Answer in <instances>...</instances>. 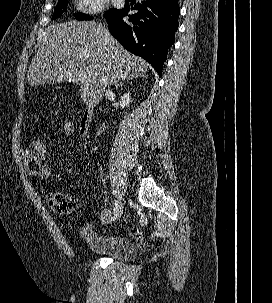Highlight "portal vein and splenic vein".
Wrapping results in <instances>:
<instances>
[{"label":"portal vein and splenic vein","mask_w":272,"mask_h":303,"mask_svg":"<svg viewBox=\"0 0 272 303\" xmlns=\"http://www.w3.org/2000/svg\"><path fill=\"white\" fill-rule=\"evenodd\" d=\"M78 80H79L81 83H84V82L89 81L88 77H87L85 74L79 75Z\"/></svg>","instance_id":"1"}]
</instances>
